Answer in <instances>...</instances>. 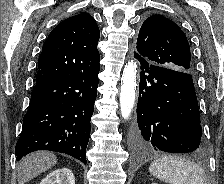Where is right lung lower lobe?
<instances>
[{"instance_id":"right-lung-lower-lobe-1","label":"right lung lower lobe","mask_w":224,"mask_h":184,"mask_svg":"<svg viewBox=\"0 0 224 184\" xmlns=\"http://www.w3.org/2000/svg\"><path fill=\"white\" fill-rule=\"evenodd\" d=\"M99 69L36 82L15 147L17 160L33 151L50 150L86 164Z\"/></svg>"}]
</instances>
